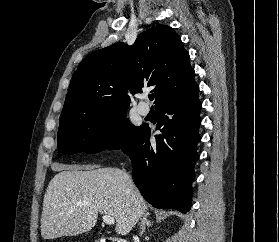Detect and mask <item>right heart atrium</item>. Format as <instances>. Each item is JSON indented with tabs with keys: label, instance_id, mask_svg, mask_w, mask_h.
<instances>
[{
	"label": "right heart atrium",
	"instance_id": "right-heart-atrium-1",
	"mask_svg": "<svg viewBox=\"0 0 279 242\" xmlns=\"http://www.w3.org/2000/svg\"><path fill=\"white\" fill-rule=\"evenodd\" d=\"M123 140V130L121 127L110 129L102 139L103 146L108 150L118 149Z\"/></svg>",
	"mask_w": 279,
	"mask_h": 242
}]
</instances>
